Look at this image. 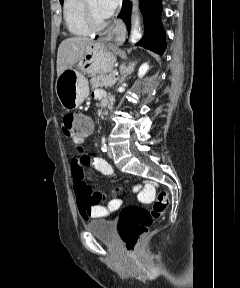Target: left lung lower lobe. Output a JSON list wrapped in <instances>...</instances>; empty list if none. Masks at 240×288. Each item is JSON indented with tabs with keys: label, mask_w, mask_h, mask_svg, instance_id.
I'll list each match as a JSON object with an SVG mask.
<instances>
[{
	"label": "left lung lower lobe",
	"mask_w": 240,
	"mask_h": 288,
	"mask_svg": "<svg viewBox=\"0 0 240 288\" xmlns=\"http://www.w3.org/2000/svg\"><path fill=\"white\" fill-rule=\"evenodd\" d=\"M162 0H140V8L144 16V36L137 43L157 54H163L166 49L165 31L162 27ZM131 3L123 0V6L118 17L122 18L130 28ZM129 30V29H128Z\"/></svg>",
	"instance_id": "0a47b994"
}]
</instances>
